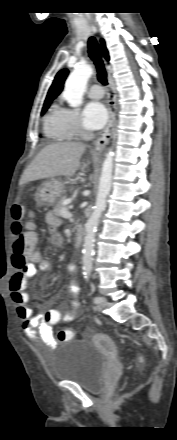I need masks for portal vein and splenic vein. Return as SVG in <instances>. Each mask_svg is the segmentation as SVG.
Masks as SVG:
<instances>
[{
  "instance_id": "1",
  "label": "portal vein and splenic vein",
  "mask_w": 177,
  "mask_h": 440,
  "mask_svg": "<svg viewBox=\"0 0 177 440\" xmlns=\"http://www.w3.org/2000/svg\"><path fill=\"white\" fill-rule=\"evenodd\" d=\"M61 217L63 218H71L72 214L69 212L68 207H63L60 211Z\"/></svg>"
}]
</instances>
